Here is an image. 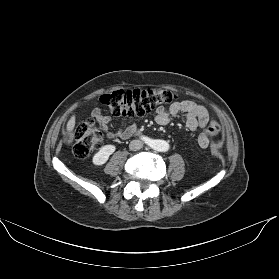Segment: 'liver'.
<instances>
[{"instance_id":"obj_1","label":"liver","mask_w":279,"mask_h":279,"mask_svg":"<svg viewBox=\"0 0 279 279\" xmlns=\"http://www.w3.org/2000/svg\"><path fill=\"white\" fill-rule=\"evenodd\" d=\"M74 127H75V116L73 115V116H71V118L69 119V121L67 123V127H66L67 133L71 134V132L73 131Z\"/></svg>"}]
</instances>
